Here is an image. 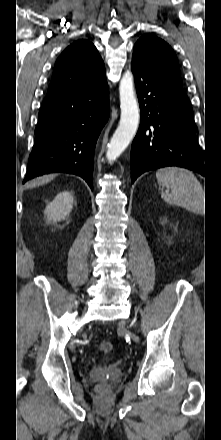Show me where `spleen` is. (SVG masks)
<instances>
[{
  "label": "spleen",
  "mask_w": 221,
  "mask_h": 440,
  "mask_svg": "<svg viewBox=\"0 0 221 440\" xmlns=\"http://www.w3.org/2000/svg\"><path fill=\"white\" fill-rule=\"evenodd\" d=\"M160 188H168L170 192L161 191L162 199L188 211L202 214L204 212V190L195 175L184 168L165 167L156 172Z\"/></svg>",
  "instance_id": "3e777b00"
}]
</instances>
